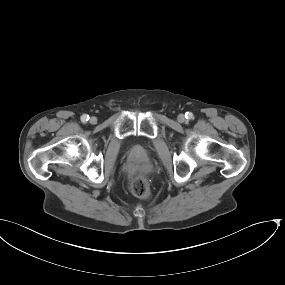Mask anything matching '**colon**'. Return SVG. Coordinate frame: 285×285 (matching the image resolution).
<instances>
[{"mask_svg":"<svg viewBox=\"0 0 285 285\" xmlns=\"http://www.w3.org/2000/svg\"><path fill=\"white\" fill-rule=\"evenodd\" d=\"M129 190L140 199H148L150 197V182L145 176L136 175L129 183Z\"/></svg>","mask_w":285,"mask_h":285,"instance_id":"obj_1","label":"colon"}]
</instances>
